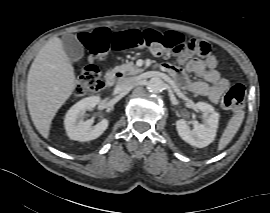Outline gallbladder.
<instances>
[{
  "label": "gallbladder",
  "instance_id": "obj_1",
  "mask_svg": "<svg viewBox=\"0 0 270 213\" xmlns=\"http://www.w3.org/2000/svg\"><path fill=\"white\" fill-rule=\"evenodd\" d=\"M67 57L72 61L80 60L84 55V48L77 37L73 34H66L61 39Z\"/></svg>",
  "mask_w": 270,
  "mask_h": 213
}]
</instances>
